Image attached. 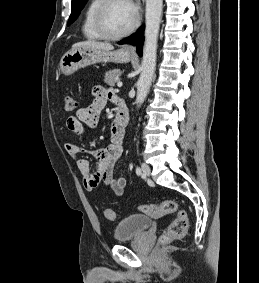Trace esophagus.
<instances>
[{
    "mask_svg": "<svg viewBox=\"0 0 259 283\" xmlns=\"http://www.w3.org/2000/svg\"><path fill=\"white\" fill-rule=\"evenodd\" d=\"M125 50L129 53H134L135 51V47L134 46H131V45H128L125 47Z\"/></svg>",
    "mask_w": 259,
    "mask_h": 283,
    "instance_id": "1",
    "label": "esophagus"
}]
</instances>
